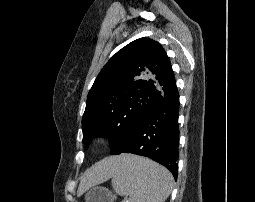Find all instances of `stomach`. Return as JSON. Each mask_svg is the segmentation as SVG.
Masks as SVG:
<instances>
[{
	"instance_id": "obj_1",
	"label": "stomach",
	"mask_w": 255,
	"mask_h": 202,
	"mask_svg": "<svg viewBox=\"0 0 255 202\" xmlns=\"http://www.w3.org/2000/svg\"><path fill=\"white\" fill-rule=\"evenodd\" d=\"M115 196L106 188L94 186L85 195L86 202H114Z\"/></svg>"
}]
</instances>
